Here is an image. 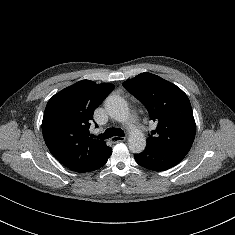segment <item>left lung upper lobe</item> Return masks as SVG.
<instances>
[{
	"label": "left lung upper lobe",
	"mask_w": 235,
	"mask_h": 235,
	"mask_svg": "<svg viewBox=\"0 0 235 235\" xmlns=\"http://www.w3.org/2000/svg\"><path fill=\"white\" fill-rule=\"evenodd\" d=\"M148 110L156 130L147 138V144L187 154L196 132L195 120L187 95L163 78L141 73L123 83Z\"/></svg>",
	"instance_id": "obj_1"
}]
</instances>
